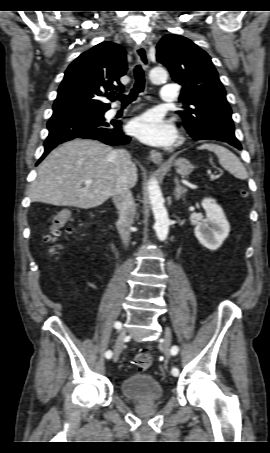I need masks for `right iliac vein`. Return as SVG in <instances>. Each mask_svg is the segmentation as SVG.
I'll return each instance as SVG.
<instances>
[{"mask_svg": "<svg viewBox=\"0 0 270 453\" xmlns=\"http://www.w3.org/2000/svg\"><path fill=\"white\" fill-rule=\"evenodd\" d=\"M124 338H125V331H120V334L116 340V344L114 347V355H113V361L116 362L119 359V356L122 352L123 346H124Z\"/></svg>", "mask_w": 270, "mask_h": 453, "instance_id": "63e3f726", "label": "right iliac vein"}]
</instances>
